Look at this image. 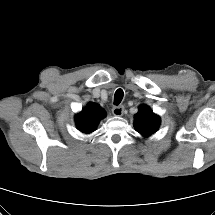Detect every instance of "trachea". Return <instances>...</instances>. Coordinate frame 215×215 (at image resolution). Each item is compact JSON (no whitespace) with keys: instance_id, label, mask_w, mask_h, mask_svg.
I'll use <instances>...</instances> for the list:
<instances>
[{"instance_id":"trachea-1","label":"trachea","mask_w":215,"mask_h":215,"mask_svg":"<svg viewBox=\"0 0 215 215\" xmlns=\"http://www.w3.org/2000/svg\"><path fill=\"white\" fill-rule=\"evenodd\" d=\"M124 93L122 89H118L114 95V104L119 105L123 99Z\"/></svg>"}]
</instances>
